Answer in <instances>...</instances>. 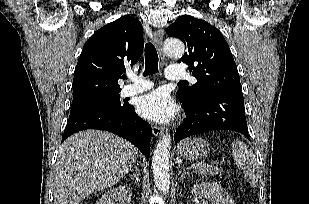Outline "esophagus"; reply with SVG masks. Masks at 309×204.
I'll return each mask as SVG.
<instances>
[{"label": "esophagus", "instance_id": "esophagus-1", "mask_svg": "<svg viewBox=\"0 0 309 204\" xmlns=\"http://www.w3.org/2000/svg\"><path fill=\"white\" fill-rule=\"evenodd\" d=\"M163 36H164V31H163V29L159 28V29L154 31V34H153V37H152V40H153L156 48L158 49L160 58L162 60L165 59V55L163 53V48H162V46H163ZM152 133H153L154 136L160 137L164 133V128L153 125L152 126Z\"/></svg>", "mask_w": 309, "mask_h": 204}]
</instances>
